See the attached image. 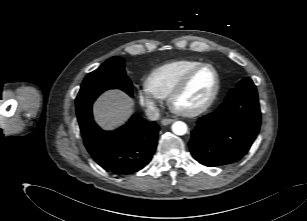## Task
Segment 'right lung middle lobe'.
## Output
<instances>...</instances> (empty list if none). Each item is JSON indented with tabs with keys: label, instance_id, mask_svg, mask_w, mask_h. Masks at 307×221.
I'll return each instance as SVG.
<instances>
[{
	"label": "right lung middle lobe",
	"instance_id": "right-lung-middle-lobe-1",
	"mask_svg": "<svg viewBox=\"0 0 307 221\" xmlns=\"http://www.w3.org/2000/svg\"><path fill=\"white\" fill-rule=\"evenodd\" d=\"M111 88H118L132 95V84L126 75L124 59L121 57H111L85 77L76 98L77 114L92 106L102 92Z\"/></svg>",
	"mask_w": 307,
	"mask_h": 221
}]
</instances>
